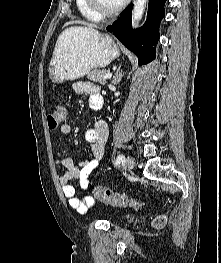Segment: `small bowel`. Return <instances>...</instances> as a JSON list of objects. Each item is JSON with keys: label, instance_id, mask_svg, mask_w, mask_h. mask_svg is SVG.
Here are the masks:
<instances>
[{"label": "small bowel", "instance_id": "obj_1", "mask_svg": "<svg viewBox=\"0 0 221 263\" xmlns=\"http://www.w3.org/2000/svg\"><path fill=\"white\" fill-rule=\"evenodd\" d=\"M76 94L87 95L89 104L92 108L102 102L100 89L97 85L90 82H76L73 84ZM62 134H69L71 127L63 123L59 127ZM108 136V126L104 121H97L93 128L87 130L85 138L89 144V157L81 161H76L71 157H61L56 159V163L65 168L64 173L59 177V184L63 195L67 198L69 206L79 213H86L95 205V199L88 195L83 198L76 196L75 187L70 184L71 180H78L81 189H89V176L98 166L104 154V146Z\"/></svg>", "mask_w": 221, "mask_h": 263}]
</instances>
